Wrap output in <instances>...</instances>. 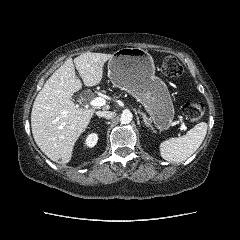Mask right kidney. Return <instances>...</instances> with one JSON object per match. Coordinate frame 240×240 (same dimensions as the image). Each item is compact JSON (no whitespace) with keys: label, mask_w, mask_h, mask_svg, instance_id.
<instances>
[{"label":"right kidney","mask_w":240,"mask_h":240,"mask_svg":"<svg viewBox=\"0 0 240 240\" xmlns=\"http://www.w3.org/2000/svg\"><path fill=\"white\" fill-rule=\"evenodd\" d=\"M97 141H98V135L95 133H92V134L88 135L85 143L88 147H94L96 145Z\"/></svg>","instance_id":"right-kidney-1"}]
</instances>
